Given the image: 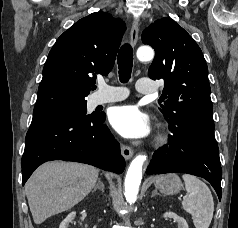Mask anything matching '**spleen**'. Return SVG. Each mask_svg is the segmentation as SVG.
<instances>
[{
    "label": "spleen",
    "mask_w": 238,
    "mask_h": 228,
    "mask_svg": "<svg viewBox=\"0 0 238 228\" xmlns=\"http://www.w3.org/2000/svg\"><path fill=\"white\" fill-rule=\"evenodd\" d=\"M187 195L183 209L191 214L196 228H208L214 212V201L208 186L194 175L184 174Z\"/></svg>",
    "instance_id": "obj_1"
}]
</instances>
